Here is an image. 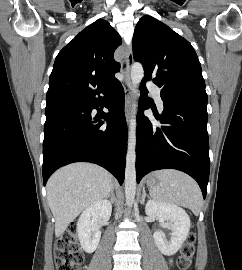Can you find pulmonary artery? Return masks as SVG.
Returning <instances> with one entry per match:
<instances>
[{
	"label": "pulmonary artery",
	"mask_w": 242,
	"mask_h": 270,
	"mask_svg": "<svg viewBox=\"0 0 242 270\" xmlns=\"http://www.w3.org/2000/svg\"><path fill=\"white\" fill-rule=\"evenodd\" d=\"M147 87L151 91V93L153 94L159 109L162 110L163 109V101H162L161 95H160V92H161L160 88L152 82H148Z\"/></svg>",
	"instance_id": "pulmonary-artery-1"
}]
</instances>
